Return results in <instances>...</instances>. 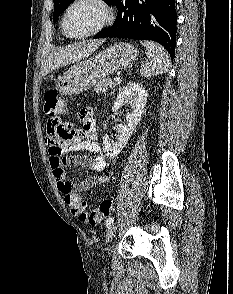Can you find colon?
<instances>
[{
  "label": "colon",
  "mask_w": 233,
  "mask_h": 294,
  "mask_svg": "<svg viewBox=\"0 0 233 294\" xmlns=\"http://www.w3.org/2000/svg\"><path fill=\"white\" fill-rule=\"evenodd\" d=\"M44 99V112L47 117H52L55 110H66L56 91L46 92ZM65 202L70 207L73 215L92 226L97 225L106 218L112 212L113 207L111 200H104L97 207L88 210L83 199L79 195L72 193L65 194Z\"/></svg>",
  "instance_id": "colon-1"
}]
</instances>
